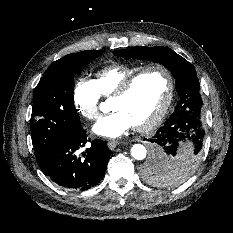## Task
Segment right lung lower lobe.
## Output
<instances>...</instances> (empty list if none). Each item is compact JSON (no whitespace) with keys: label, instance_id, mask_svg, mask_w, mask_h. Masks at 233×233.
Returning a JSON list of instances; mask_svg holds the SVG:
<instances>
[{"label":"right lung lower lobe","instance_id":"1","mask_svg":"<svg viewBox=\"0 0 233 233\" xmlns=\"http://www.w3.org/2000/svg\"><path fill=\"white\" fill-rule=\"evenodd\" d=\"M87 141L81 127L67 133L53 149L49 159L40 167L46 176L60 186L87 190L102 179L111 155L107 143L100 139L91 141V147L81 155L77 150Z\"/></svg>","mask_w":233,"mask_h":233}]
</instances>
